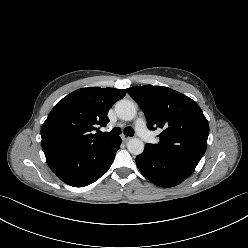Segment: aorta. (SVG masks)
I'll return each mask as SVG.
<instances>
[{
	"mask_svg": "<svg viewBox=\"0 0 248 248\" xmlns=\"http://www.w3.org/2000/svg\"><path fill=\"white\" fill-rule=\"evenodd\" d=\"M117 116L124 121H131L136 116V107L133 102L122 99L115 105ZM127 149L133 155H140L144 150V143L139 138H132L127 143Z\"/></svg>",
	"mask_w": 248,
	"mask_h": 248,
	"instance_id": "obj_1",
	"label": "aorta"
}]
</instances>
